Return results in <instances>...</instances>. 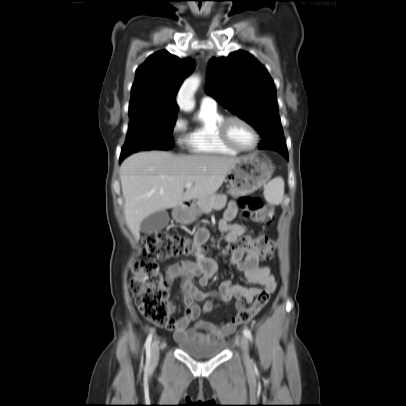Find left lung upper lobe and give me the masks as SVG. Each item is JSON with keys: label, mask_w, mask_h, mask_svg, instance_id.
<instances>
[{"label": "left lung upper lobe", "mask_w": 406, "mask_h": 406, "mask_svg": "<svg viewBox=\"0 0 406 406\" xmlns=\"http://www.w3.org/2000/svg\"><path fill=\"white\" fill-rule=\"evenodd\" d=\"M205 92L259 132L263 139L259 148L288 152L275 85L253 55L239 50L227 57L211 58Z\"/></svg>", "instance_id": "left-lung-upper-lobe-1"}]
</instances>
